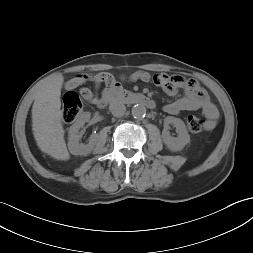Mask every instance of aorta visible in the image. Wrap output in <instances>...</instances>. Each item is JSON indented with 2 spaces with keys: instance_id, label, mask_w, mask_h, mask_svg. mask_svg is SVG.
Segmentation results:
<instances>
[{
  "instance_id": "762f6f07",
  "label": "aorta",
  "mask_w": 253,
  "mask_h": 253,
  "mask_svg": "<svg viewBox=\"0 0 253 253\" xmlns=\"http://www.w3.org/2000/svg\"><path fill=\"white\" fill-rule=\"evenodd\" d=\"M131 112L135 118H142L146 114V108L141 104H136L132 107Z\"/></svg>"
}]
</instances>
